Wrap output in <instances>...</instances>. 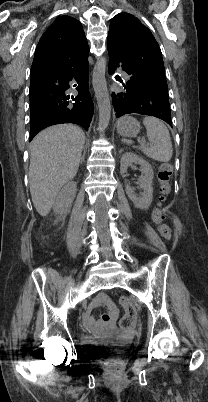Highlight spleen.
Returning a JSON list of instances; mask_svg holds the SVG:
<instances>
[{"instance_id": "3e777b00", "label": "spleen", "mask_w": 208, "mask_h": 402, "mask_svg": "<svg viewBox=\"0 0 208 402\" xmlns=\"http://www.w3.org/2000/svg\"><path fill=\"white\" fill-rule=\"evenodd\" d=\"M147 138L152 146L141 144L139 150L157 162H169L172 158L173 148L168 128L158 118H144Z\"/></svg>"}]
</instances>
